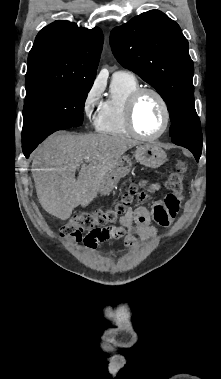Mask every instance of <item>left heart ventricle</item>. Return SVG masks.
Masks as SVG:
<instances>
[{"mask_svg":"<svg viewBox=\"0 0 221 379\" xmlns=\"http://www.w3.org/2000/svg\"><path fill=\"white\" fill-rule=\"evenodd\" d=\"M164 121L162 107L152 94L143 95L135 110V124L139 132L154 135L160 131Z\"/></svg>","mask_w":221,"mask_h":379,"instance_id":"left-heart-ventricle-1","label":"left heart ventricle"}]
</instances>
